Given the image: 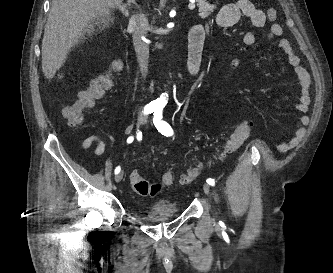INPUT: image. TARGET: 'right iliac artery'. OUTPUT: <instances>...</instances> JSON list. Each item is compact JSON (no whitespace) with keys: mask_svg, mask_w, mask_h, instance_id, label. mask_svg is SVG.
Listing matches in <instances>:
<instances>
[{"mask_svg":"<svg viewBox=\"0 0 333 273\" xmlns=\"http://www.w3.org/2000/svg\"><path fill=\"white\" fill-rule=\"evenodd\" d=\"M155 111V107H153V106H145L144 107V111H143V113H144V115H148V114H151L152 112H154ZM142 133L141 132H138L137 133V135H141ZM133 140H134V137L133 136H130V137H128V139H127V143H132L133 142ZM120 170H121V168H120V166H118V167H116V169H115V174H118L119 172H120Z\"/></svg>","mask_w":333,"mask_h":273,"instance_id":"82829eb1","label":"right iliac artery"}]
</instances>
